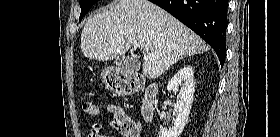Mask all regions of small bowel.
<instances>
[{"instance_id":"c3829d8e","label":"small bowel","mask_w":280,"mask_h":137,"mask_svg":"<svg viewBox=\"0 0 280 137\" xmlns=\"http://www.w3.org/2000/svg\"><path fill=\"white\" fill-rule=\"evenodd\" d=\"M109 111L113 116V119L107 123H94L91 126L88 137H108L104 134V128L106 126L111 127L119 131L124 137H141L140 132L136 136H132L128 128V120L131 118L125 113V111L117 105H111Z\"/></svg>"}]
</instances>
